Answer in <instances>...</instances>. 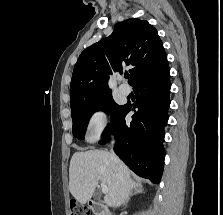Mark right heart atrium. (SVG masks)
I'll return each mask as SVG.
<instances>
[{
	"label": "right heart atrium",
	"mask_w": 223,
	"mask_h": 215,
	"mask_svg": "<svg viewBox=\"0 0 223 215\" xmlns=\"http://www.w3.org/2000/svg\"><path fill=\"white\" fill-rule=\"evenodd\" d=\"M109 123L110 118L107 110L104 108H96L89 114L86 121V128L99 133L106 129Z\"/></svg>",
	"instance_id": "1"
}]
</instances>
